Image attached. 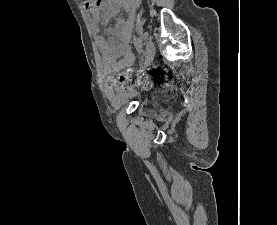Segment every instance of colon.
<instances>
[{"mask_svg":"<svg viewBox=\"0 0 277 225\" xmlns=\"http://www.w3.org/2000/svg\"><path fill=\"white\" fill-rule=\"evenodd\" d=\"M118 81L123 88H130L137 83L148 87L151 83L149 74L129 70H121L118 74Z\"/></svg>","mask_w":277,"mask_h":225,"instance_id":"obj_1","label":"colon"}]
</instances>
